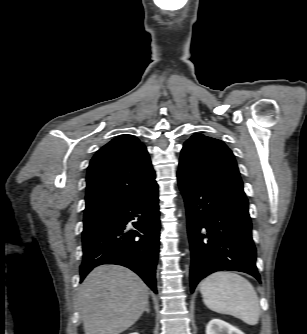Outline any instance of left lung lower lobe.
I'll return each instance as SVG.
<instances>
[{
    "label": "left lung lower lobe",
    "instance_id": "left-lung-lower-lobe-1",
    "mask_svg": "<svg viewBox=\"0 0 307 334\" xmlns=\"http://www.w3.org/2000/svg\"><path fill=\"white\" fill-rule=\"evenodd\" d=\"M191 248V292L221 270L245 272L258 281L248 200L243 189L178 172Z\"/></svg>",
    "mask_w": 307,
    "mask_h": 334
}]
</instances>
